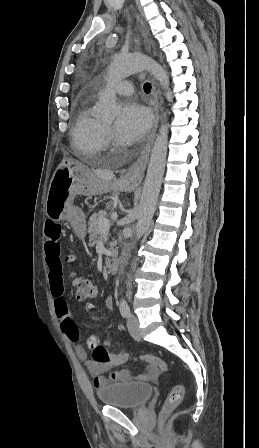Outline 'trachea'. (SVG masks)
Listing matches in <instances>:
<instances>
[{
    "mask_svg": "<svg viewBox=\"0 0 259 448\" xmlns=\"http://www.w3.org/2000/svg\"><path fill=\"white\" fill-rule=\"evenodd\" d=\"M143 88L145 93H150L152 87L150 83H145Z\"/></svg>",
    "mask_w": 259,
    "mask_h": 448,
    "instance_id": "obj_1",
    "label": "trachea"
}]
</instances>
